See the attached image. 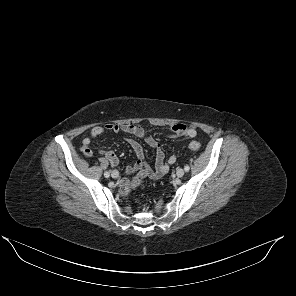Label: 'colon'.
Wrapping results in <instances>:
<instances>
[{"instance_id": "obj_1", "label": "colon", "mask_w": 296, "mask_h": 296, "mask_svg": "<svg viewBox=\"0 0 296 296\" xmlns=\"http://www.w3.org/2000/svg\"><path fill=\"white\" fill-rule=\"evenodd\" d=\"M189 148L191 150L197 151L201 148V145L199 142L197 141H192L189 143ZM142 177L141 176H136L135 178H133L131 180V182L129 184H124L121 186V194L122 195H127L129 194V192L131 191V189L135 186H138L142 183Z\"/></svg>"}]
</instances>
